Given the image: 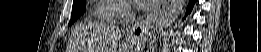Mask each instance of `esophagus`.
<instances>
[{
	"instance_id": "1",
	"label": "esophagus",
	"mask_w": 261,
	"mask_h": 52,
	"mask_svg": "<svg viewBox=\"0 0 261 52\" xmlns=\"http://www.w3.org/2000/svg\"><path fill=\"white\" fill-rule=\"evenodd\" d=\"M168 3L169 0H161L150 14L130 26L127 29V34L136 39L143 37L148 32V29L153 25L158 16L165 10Z\"/></svg>"
}]
</instances>
